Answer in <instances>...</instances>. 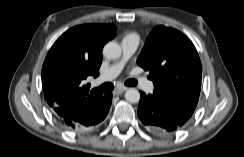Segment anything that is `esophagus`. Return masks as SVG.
I'll use <instances>...</instances> for the list:
<instances>
[{
  "label": "esophagus",
  "instance_id": "1",
  "mask_svg": "<svg viewBox=\"0 0 244 157\" xmlns=\"http://www.w3.org/2000/svg\"><path fill=\"white\" fill-rule=\"evenodd\" d=\"M125 90H127V87L123 86V85H119L117 86V88L114 90V94L115 95H119L121 93H123Z\"/></svg>",
  "mask_w": 244,
  "mask_h": 157
}]
</instances>
